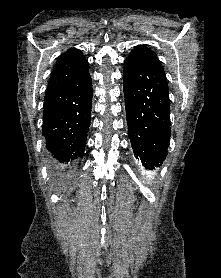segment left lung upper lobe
I'll list each match as a JSON object with an SVG mask.
<instances>
[{
	"label": "left lung upper lobe",
	"instance_id": "obj_1",
	"mask_svg": "<svg viewBox=\"0 0 221 278\" xmlns=\"http://www.w3.org/2000/svg\"><path fill=\"white\" fill-rule=\"evenodd\" d=\"M149 61L160 63L156 53L145 45L136 46L125 60V62H130L137 65H142Z\"/></svg>",
	"mask_w": 221,
	"mask_h": 278
}]
</instances>
